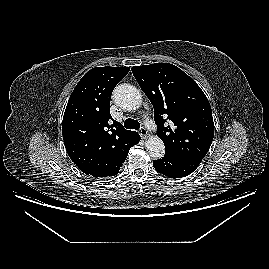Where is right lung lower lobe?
Returning <instances> with one entry per match:
<instances>
[{
    "instance_id": "obj_1",
    "label": "right lung lower lobe",
    "mask_w": 269,
    "mask_h": 269,
    "mask_svg": "<svg viewBox=\"0 0 269 269\" xmlns=\"http://www.w3.org/2000/svg\"><path fill=\"white\" fill-rule=\"evenodd\" d=\"M140 140V136L139 134L136 132L135 135H133V137L131 138L130 142L128 143L126 150L124 151V155H125V159L127 158L129 149L134 146L135 144H137Z\"/></svg>"
}]
</instances>
